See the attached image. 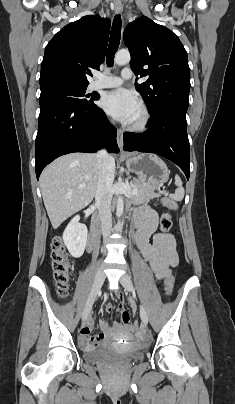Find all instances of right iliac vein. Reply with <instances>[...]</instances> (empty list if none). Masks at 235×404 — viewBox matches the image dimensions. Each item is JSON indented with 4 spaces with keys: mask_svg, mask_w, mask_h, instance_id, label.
<instances>
[{
    "mask_svg": "<svg viewBox=\"0 0 235 404\" xmlns=\"http://www.w3.org/2000/svg\"><path fill=\"white\" fill-rule=\"evenodd\" d=\"M104 280H105V273L103 271V268L100 267L96 272L92 290H91L90 296L88 298V301H87L84 311H83L82 324H85L87 322L88 315L92 309V306L97 297V294L104 283Z\"/></svg>",
    "mask_w": 235,
    "mask_h": 404,
    "instance_id": "obj_1",
    "label": "right iliac vein"
}]
</instances>
